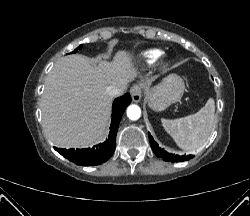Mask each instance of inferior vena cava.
I'll use <instances>...</instances> for the list:
<instances>
[{"instance_id": "602c4592", "label": "inferior vena cava", "mask_w": 250, "mask_h": 216, "mask_svg": "<svg viewBox=\"0 0 250 216\" xmlns=\"http://www.w3.org/2000/svg\"><path fill=\"white\" fill-rule=\"evenodd\" d=\"M123 91H124V88H121V87H117V86L107 87V93L112 97L121 95Z\"/></svg>"}]
</instances>
